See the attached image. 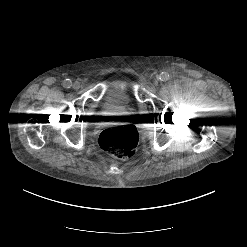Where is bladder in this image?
Listing matches in <instances>:
<instances>
[{
  "label": "bladder",
  "mask_w": 247,
  "mask_h": 247,
  "mask_svg": "<svg viewBox=\"0 0 247 247\" xmlns=\"http://www.w3.org/2000/svg\"><path fill=\"white\" fill-rule=\"evenodd\" d=\"M128 99V85L125 82L118 81L107 91L103 104L104 107L123 103Z\"/></svg>",
  "instance_id": "31cf9c89"
}]
</instances>
